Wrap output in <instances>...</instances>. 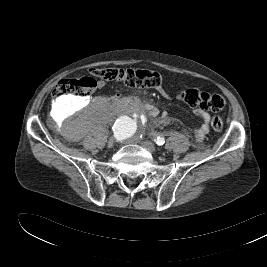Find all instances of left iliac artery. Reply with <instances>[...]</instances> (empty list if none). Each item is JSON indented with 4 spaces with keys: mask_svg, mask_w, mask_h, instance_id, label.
I'll use <instances>...</instances> for the list:
<instances>
[{
    "mask_svg": "<svg viewBox=\"0 0 267 267\" xmlns=\"http://www.w3.org/2000/svg\"><path fill=\"white\" fill-rule=\"evenodd\" d=\"M154 142L159 146L163 145L165 143V138L158 136L154 139Z\"/></svg>",
    "mask_w": 267,
    "mask_h": 267,
    "instance_id": "left-iliac-artery-1",
    "label": "left iliac artery"
}]
</instances>
